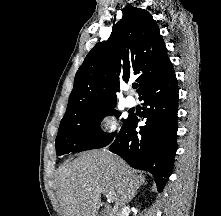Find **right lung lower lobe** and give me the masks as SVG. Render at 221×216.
<instances>
[{"instance_id":"obj_1","label":"right lung lower lobe","mask_w":221,"mask_h":216,"mask_svg":"<svg viewBox=\"0 0 221 216\" xmlns=\"http://www.w3.org/2000/svg\"><path fill=\"white\" fill-rule=\"evenodd\" d=\"M139 100L146 105V125L136 132L138 119L129 116L109 150L130 166L149 171L162 191L170 176L177 150L178 86L174 70L146 89Z\"/></svg>"}]
</instances>
